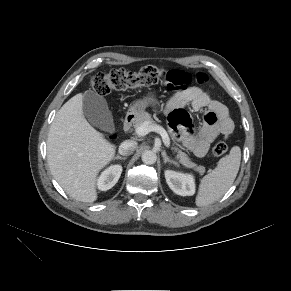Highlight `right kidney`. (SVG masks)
<instances>
[{
  "mask_svg": "<svg viewBox=\"0 0 291 291\" xmlns=\"http://www.w3.org/2000/svg\"><path fill=\"white\" fill-rule=\"evenodd\" d=\"M122 173L121 165H113L107 168L100 175L97 185L102 191L111 189L119 180Z\"/></svg>",
  "mask_w": 291,
  "mask_h": 291,
  "instance_id": "ca27d5eb",
  "label": "right kidney"
}]
</instances>
